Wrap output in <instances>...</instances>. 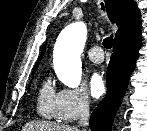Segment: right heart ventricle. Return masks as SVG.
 <instances>
[{
	"label": "right heart ventricle",
	"instance_id": "right-heart-ventricle-1",
	"mask_svg": "<svg viewBox=\"0 0 147 131\" xmlns=\"http://www.w3.org/2000/svg\"><path fill=\"white\" fill-rule=\"evenodd\" d=\"M57 93L49 78H46L38 91L37 95V112L45 119L56 118L55 104Z\"/></svg>",
	"mask_w": 147,
	"mask_h": 131
}]
</instances>
